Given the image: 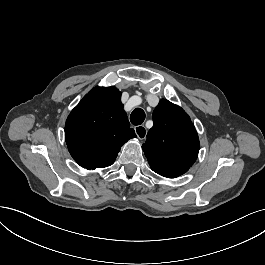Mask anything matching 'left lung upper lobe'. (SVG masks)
Masks as SVG:
<instances>
[{"mask_svg": "<svg viewBox=\"0 0 265 265\" xmlns=\"http://www.w3.org/2000/svg\"><path fill=\"white\" fill-rule=\"evenodd\" d=\"M153 127L142 149L153 171L167 178L186 173L197 159L199 138L187 113L168 100L153 112Z\"/></svg>", "mask_w": 265, "mask_h": 265, "instance_id": "1", "label": "left lung upper lobe"}]
</instances>
